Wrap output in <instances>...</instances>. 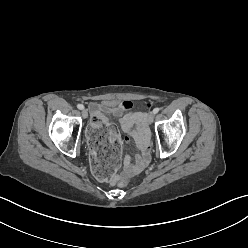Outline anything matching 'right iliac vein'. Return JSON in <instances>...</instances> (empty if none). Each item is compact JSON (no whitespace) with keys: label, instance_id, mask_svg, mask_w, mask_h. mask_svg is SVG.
<instances>
[{"label":"right iliac vein","instance_id":"1","mask_svg":"<svg viewBox=\"0 0 248 248\" xmlns=\"http://www.w3.org/2000/svg\"><path fill=\"white\" fill-rule=\"evenodd\" d=\"M82 116H83L84 119H86L88 117V112H87L86 109H83Z\"/></svg>","mask_w":248,"mask_h":248}]
</instances>
